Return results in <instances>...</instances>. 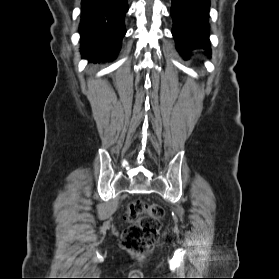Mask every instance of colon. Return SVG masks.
<instances>
[{"label": "colon", "instance_id": "1", "mask_svg": "<svg viewBox=\"0 0 279 279\" xmlns=\"http://www.w3.org/2000/svg\"><path fill=\"white\" fill-rule=\"evenodd\" d=\"M163 216L164 209L159 204L143 200L129 204L125 215L129 225L123 233L122 246L134 254L146 253L159 239Z\"/></svg>", "mask_w": 279, "mask_h": 279}]
</instances>
